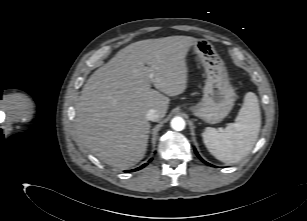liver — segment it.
<instances>
[{
  "instance_id": "obj_1",
  "label": "liver",
  "mask_w": 307,
  "mask_h": 221,
  "mask_svg": "<svg viewBox=\"0 0 307 221\" xmlns=\"http://www.w3.org/2000/svg\"><path fill=\"white\" fill-rule=\"evenodd\" d=\"M196 40L171 36L134 42L97 69L76 103L79 141L119 169L142 160L151 128L146 114L155 109L164 118L169 96L185 91V58Z\"/></svg>"
}]
</instances>
